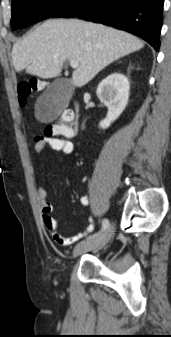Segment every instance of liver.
<instances>
[{"label":"liver","instance_id":"liver-1","mask_svg":"<svg viewBox=\"0 0 171 337\" xmlns=\"http://www.w3.org/2000/svg\"><path fill=\"white\" fill-rule=\"evenodd\" d=\"M137 37L102 24L78 19H49L14 44L15 70L43 79L57 77L67 59L76 60L71 83L82 87L110 63L138 51Z\"/></svg>","mask_w":171,"mask_h":337}]
</instances>
